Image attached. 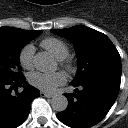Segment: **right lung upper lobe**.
I'll return each mask as SVG.
<instances>
[{
  "mask_svg": "<svg viewBox=\"0 0 128 128\" xmlns=\"http://www.w3.org/2000/svg\"><path fill=\"white\" fill-rule=\"evenodd\" d=\"M7 29L19 30V31H23V32H33V31H29V30H22V29L12 28V27H0V31L7 30Z\"/></svg>",
  "mask_w": 128,
  "mask_h": 128,
  "instance_id": "right-lung-upper-lobe-1",
  "label": "right lung upper lobe"
}]
</instances>
